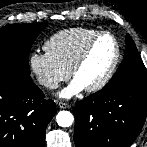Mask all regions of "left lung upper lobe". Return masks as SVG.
<instances>
[{
    "label": "left lung upper lobe",
    "instance_id": "1",
    "mask_svg": "<svg viewBox=\"0 0 147 147\" xmlns=\"http://www.w3.org/2000/svg\"><path fill=\"white\" fill-rule=\"evenodd\" d=\"M123 84L147 85V74L143 61L137 51L134 41L126 35V50L122 63L103 89Z\"/></svg>",
    "mask_w": 147,
    "mask_h": 147
}]
</instances>
